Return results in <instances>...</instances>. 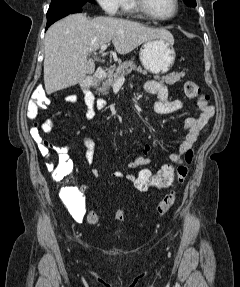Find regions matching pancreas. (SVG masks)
<instances>
[{"label": "pancreas", "instance_id": "1", "mask_svg": "<svg viewBox=\"0 0 240 287\" xmlns=\"http://www.w3.org/2000/svg\"><path fill=\"white\" fill-rule=\"evenodd\" d=\"M107 71V79H103L100 83L97 85V92L98 94L107 95L109 93V90L111 86L114 84V82L119 78L126 74H130L132 71H137L139 73L146 74V71H144L140 66H137L133 60L124 61L123 63H120L117 67L116 66H110L106 69ZM185 73H170L167 76L159 78L161 82L172 85L180 80L181 77H184Z\"/></svg>", "mask_w": 240, "mask_h": 287}]
</instances>
